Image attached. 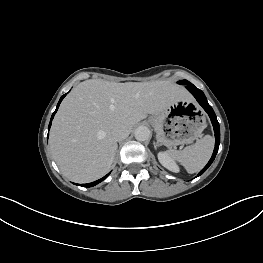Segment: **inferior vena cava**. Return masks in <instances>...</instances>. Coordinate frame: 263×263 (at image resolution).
<instances>
[{"label":"inferior vena cava","mask_w":263,"mask_h":263,"mask_svg":"<svg viewBox=\"0 0 263 263\" xmlns=\"http://www.w3.org/2000/svg\"><path fill=\"white\" fill-rule=\"evenodd\" d=\"M112 136L116 141H121L128 137L129 130L124 125H117L112 129Z\"/></svg>","instance_id":"inferior-vena-cava-1"}]
</instances>
